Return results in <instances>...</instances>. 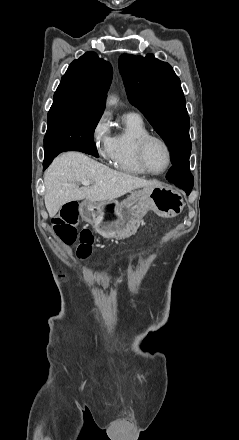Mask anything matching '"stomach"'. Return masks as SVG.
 Returning <instances> with one entry per match:
<instances>
[{
	"mask_svg": "<svg viewBox=\"0 0 239 440\" xmlns=\"http://www.w3.org/2000/svg\"><path fill=\"white\" fill-rule=\"evenodd\" d=\"M184 206V200L176 190L143 188L130 192L123 202L84 200L79 206V214L103 238L124 240L137 232L143 216L149 210L160 218H175L181 214Z\"/></svg>",
	"mask_w": 239,
	"mask_h": 440,
	"instance_id": "stomach-1",
	"label": "stomach"
}]
</instances>
